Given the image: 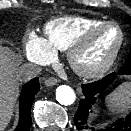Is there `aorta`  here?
Instances as JSON below:
<instances>
[{
  "label": "aorta",
  "mask_w": 131,
  "mask_h": 131,
  "mask_svg": "<svg viewBox=\"0 0 131 131\" xmlns=\"http://www.w3.org/2000/svg\"><path fill=\"white\" fill-rule=\"evenodd\" d=\"M76 96L73 89L67 85H60L56 89V100L61 105H71L75 102Z\"/></svg>",
  "instance_id": "1"
}]
</instances>
